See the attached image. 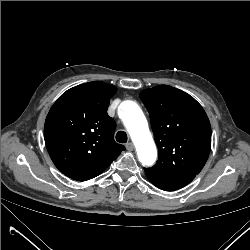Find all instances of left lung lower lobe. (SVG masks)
<instances>
[{
    "label": "left lung lower lobe",
    "mask_w": 250,
    "mask_h": 250,
    "mask_svg": "<svg viewBox=\"0 0 250 250\" xmlns=\"http://www.w3.org/2000/svg\"><path fill=\"white\" fill-rule=\"evenodd\" d=\"M144 170L149 181L159 189L165 191H174L180 189L189 184L196 176V175L168 176V175H160L153 173L146 168Z\"/></svg>",
    "instance_id": "0a47b994"
}]
</instances>
